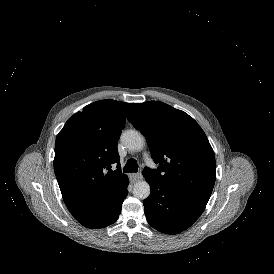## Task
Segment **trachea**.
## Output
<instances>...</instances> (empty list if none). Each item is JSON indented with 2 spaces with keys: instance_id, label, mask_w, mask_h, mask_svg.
Returning <instances> with one entry per match:
<instances>
[{
  "instance_id": "trachea-1",
  "label": "trachea",
  "mask_w": 274,
  "mask_h": 274,
  "mask_svg": "<svg viewBox=\"0 0 274 274\" xmlns=\"http://www.w3.org/2000/svg\"><path fill=\"white\" fill-rule=\"evenodd\" d=\"M138 171V164L135 159H129L124 166V172H137Z\"/></svg>"
}]
</instances>
